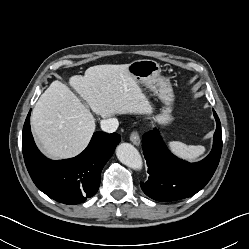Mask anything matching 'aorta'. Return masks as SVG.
Listing matches in <instances>:
<instances>
[{
	"label": "aorta",
	"instance_id": "1",
	"mask_svg": "<svg viewBox=\"0 0 249 249\" xmlns=\"http://www.w3.org/2000/svg\"><path fill=\"white\" fill-rule=\"evenodd\" d=\"M116 155L119 161L134 169L141 170L142 169V158L138 150L129 143H121L116 148Z\"/></svg>",
	"mask_w": 249,
	"mask_h": 249
}]
</instances>
